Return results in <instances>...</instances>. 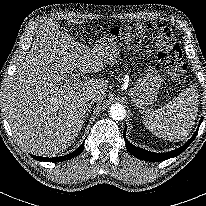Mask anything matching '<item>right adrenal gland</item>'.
Returning <instances> with one entry per match:
<instances>
[{
	"label": "right adrenal gland",
	"instance_id": "2a0ac1e0",
	"mask_svg": "<svg viewBox=\"0 0 206 206\" xmlns=\"http://www.w3.org/2000/svg\"><path fill=\"white\" fill-rule=\"evenodd\" d=\"M90 111H91V104H88V109H87L86 117L89 116Z\"/></svg>",
	"mask_w": 206,
	"mask_h": 206
}]
</instances>
